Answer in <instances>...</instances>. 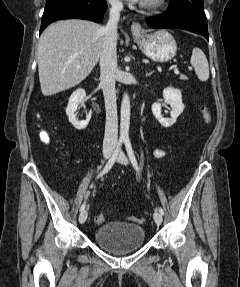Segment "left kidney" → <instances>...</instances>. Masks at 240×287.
<instances>
[{"instance_id": "5707ae66", "label": "left kidney", "mask_w": 240, "mask_h": 287, "mask_svg": "<svg viewBox=\"0 0 240 287\" xmlns=\"http://www.w3.org/2000/svg\"><path fill=\"white\" fill-rule=\"evenodd\" d=\"M163 98L164 102L171 106L170 118L163 117L160 103L152 105V113L163 127L168 128L176 122L178 116L183 112L184 104L182 103L181 91L172 87L163 90Z\"/></svg>"}]
</instances>
